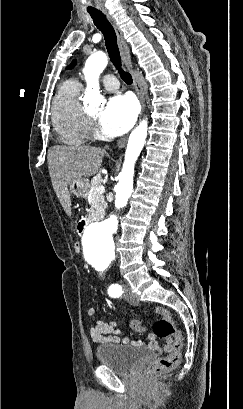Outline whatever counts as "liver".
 Returning <instances> with one entry per match:
<instances>
[{"instance_id":"liver-1","label":"liver","mask_w":243,"mask_h":409,"mask_svg":"<svg viewBox=\"0 0 243 409\" xmlns=\"http://www.w3.org/2000/svg\"><path fill=\"white\" fill-rule=\"evenodd\" d=\"M105 151L91 146H53L48 151V169L55 193L68 216L71 200L68 185L73 180H85L101 166Z\"/></svg>"}]
</instances>
